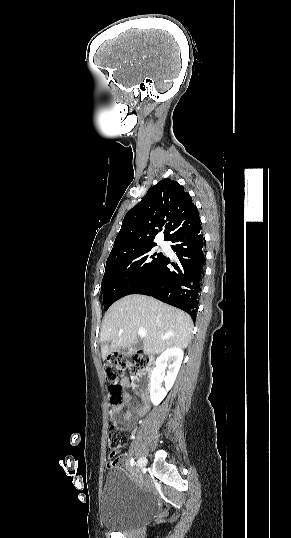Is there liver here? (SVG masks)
I'll use <instances>...</instances> for the list:
<instances>
[{
    "mask_svg": "<svg viewBox=\"0 0 291 538\" xmlns=\"http://www.w3.org/2000/svg\"><path fill=\"white\" fill-rule=\"evenodd\" d=\"M139 329L146 330L144 351L159 354L171 347L185 349L191 340L193 322L185 312L152 297L128 295L115 302L104 316L100 332L102 359L136 344ZM106 342H111L110 346Z\"/></svg>",
    "mask_w": 291,
    "mask_h": 538,
    "instance_id": "liver-1",
    "label": "liver"
}]
</instances>
